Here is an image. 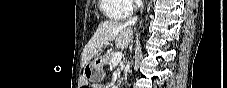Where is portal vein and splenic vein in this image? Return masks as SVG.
Listing matches in <instances>:
<instances>
[{
    "label": "portal vein and splenic vein",
    "instance_id": "portal-vein-and-splenic-vein-1",
    "mask_svg": "<svg viewBox=\"0 0 227 88\" xmlns=\"http://www.w3.org/2000/svg\"><path fill=\"white\" fill-rule=\"evenodd\" d=\"M122 53L121 52H116L112 55V60H111V65L115 66L117 65L121 60H122Z\"/></svg>",
    "mask_w": 227,
    "mask_h": 88
}]
</instances>
